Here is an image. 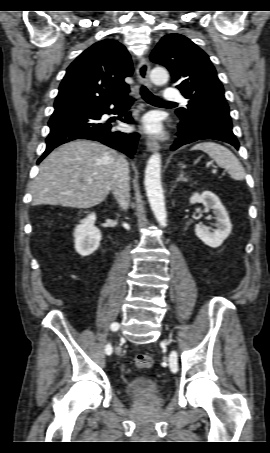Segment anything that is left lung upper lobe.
<instances>
[{"label": "left lung upper lobe", "instance_id": "obj_1", "mask_svg": "<svg viewBox=\"0 0 270 453\" xmlns=\"http://www.w3.org/2000/svg\"><path fill=\"white\" fill-rule=\"evenodd\" d=\"M150 59L171 72L176 87L188 99L187 108L176 110L181 120L200 113L212 124L232 132L223 86L203 50L187 37L173 33L161 39Z\"/></svg>", "mask_w": 270, "mask_h": 453}]
</instances>
